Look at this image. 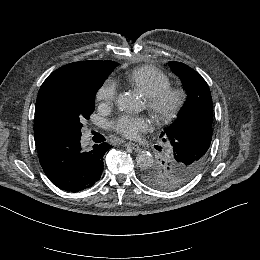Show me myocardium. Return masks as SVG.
<instances>
[{
    "label": "myocardium",
    "mask_w": 260,
    "mask_h": 260,
    "mask_svg": "<svg viewBox=\"0 0 260 260\" xmlns=\"http://www.w3.org/2000/svg\"><path fill=\"white\" fill-rule=\"evenodd\" d=\"M187 97L185 89L170 85L146 97L154 123L163 126L176 119L184 109Z\"/></svg>",
    "instance_id": "obj_1"
}]
</instances>
